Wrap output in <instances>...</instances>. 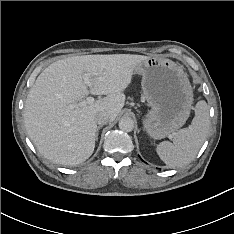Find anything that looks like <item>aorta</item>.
Returning a JSON list of instances; mask_svg holds the SVG:
<instances>
[{"instance_id":"762f6f07","label":"aorta","mask_w":234,"mask_h":234,"mask_svg":"<svg viewBox=\"0 0 234 234\" xmlns=\"http://www.w3.org/2000/svg\"><path fill=\"white\" fill-rule=\"evenodd\" d=\"M119 128L122 131L130 132L134 128V122L130 117H122L119 121Z\"/></svg>"}]
</instances>
